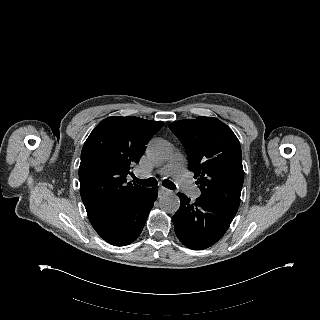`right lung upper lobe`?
Wrapping results in <instances>:
<instances>
[{
  "instance_id": "right-lung-upper-lobe-1",
  "label": "right lung upper lobe",
  "mask_w": 320,
  "mask_h": 320,
  "mask_svg": "<svg viewBox=\"0 0 320 320\" xmlns=\"http://www.w3.org/2000/svg\"><path fill=\"white\" fill-rule=\"evenodd\" d=\"M163 125L135 116H111L94 128L79 167L80 193L89 218L125 205L146 189L127 183L126 176Z\"/></svg>"
}]
</instances>
